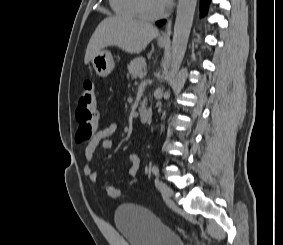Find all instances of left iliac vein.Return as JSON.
<instances>
[{
  "mask_svg": "<svg viewBox=\"0 0 283 245\" xmlns=\"http://www.w3.org/2000/svg\"><path fill=\"white\" fill-rule=\"evenodd\" d=\"M158 188L161 192V195H162L164 201L167 204H171L172 203V196H173L172 189L163 182H158Z\"/></svg>",
  "mask_w": 283,
  "mask_h": 245,
  "instance_id": "4c4485c4",
  "label": "left iliac vein"
}]
</instances>
